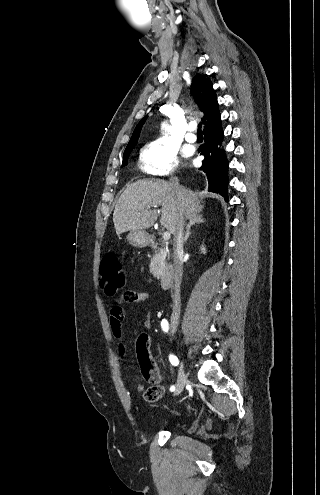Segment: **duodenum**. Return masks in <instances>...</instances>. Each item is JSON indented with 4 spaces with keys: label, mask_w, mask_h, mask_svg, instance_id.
<instances>
[{
    "label": "duodenum",
    "mask_w": 320,
    "mask_h": 495,
    "mask_svg": "<svg viewBox=\"0 0 320 495\" xmlns=\"http://www.w3.org/2000/svg\"><path fill=\"white\" fill-rule=\"evenodd\" d=\"M154 247L155 244L152 243ZM175 270L171 262H166L163 268V272L160 277V284L163 288H168L172 285L174 280Z\"/></svg>",
    "instance_id": "410a0bca"
}]
</instances>
